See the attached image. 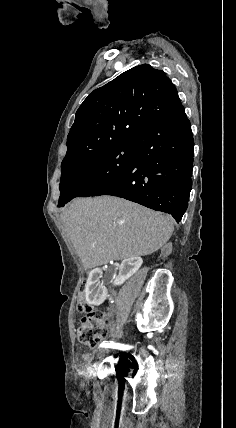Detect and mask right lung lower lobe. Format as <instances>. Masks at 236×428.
Masks as SVG:
<instances>
[{"instance_id": "1", "label": "right lung lower lobe", "mask_w": 236, "mask_h": 428, "mask_svg": "<svg viewBox=\"0 0 236 428\" xmlns=\"http://www.w3.org/2000/svg\"><path fill=\"white\" fill-rule=\"evenodd\" d=\"M135 157L111 183L92 196L112 195L171 214L179 222L192 188L194 141L181 106L136 139Z\"/></svg>"}]
</instances>
